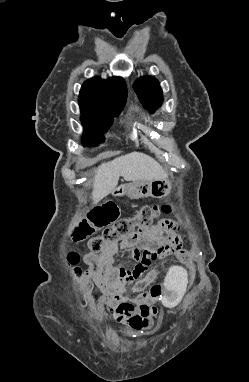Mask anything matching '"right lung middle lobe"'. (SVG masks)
Segmentation results:
<instances>
[{"label":"right lung middle lobe","mask_w":249,"mask_h":382,"mask_svg":"<svg viewBox=\"0 0 249 382\" xmlns=\"http://www.w3.org/2000/svg\"><path fill=\"white\" fill-rule=\"evenodd\" d=\"M81 121L85 128L84 145L96 146L103 141L102 131H106L113 123V118L120 114L121 110L109 111L98 107L81 108Z\"/></svg>","instance_id":"dd1d6c3e"}]
</instances>
